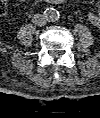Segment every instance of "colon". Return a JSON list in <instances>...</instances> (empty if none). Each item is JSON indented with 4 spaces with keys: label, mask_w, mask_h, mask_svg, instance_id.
<instances>
[{
    "label": "colon",
    "mask_w": 100,
    "mask_h": 118,
    "mask_svg": "<svg viewBox=\"0 0 100 118\" xmlns=\"http://www.w3.org/2000/svg\"><path fill=\"white\" fill-rule=\"evenodd\" d=\"M5 2H6V0H1V4H0V11L1 12H4V10H5Z\"/></svg>",
    "instance_id": "5ec220e1"
}]
</instances>
